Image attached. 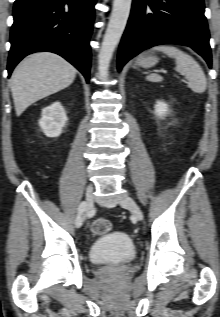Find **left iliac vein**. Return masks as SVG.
Returning <instances> with one entry per match:
<instances>
[{"label": "left iliac vein", "mask_w": 220, "mask_h": 317, "mask_svg": "<svg viewBox=\"0 0 220 317\" xmlns=\"http://www.w3.org/2000/svg\"><path fill=\"white\" fill-rule=\"evenodd\" d=\"M120 205L123 208H126V209L130 210L132 212L133 216L137 220H139V221L143 220V212H142V210L140 209L138 204L135 202V200L133 198H131L130 196H124L120 200Z\"/></svg>", "instance_id": "1"}]
</instances>
